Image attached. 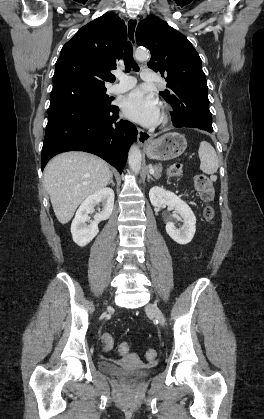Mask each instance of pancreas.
<instances>
[{
  "label": "pancreas",
  "instance_id": "pancreas-1",
  "mask_svg": "<svg viewBox=\"0 0 264 419\" xmlns=\"http://www.w3.org/2000/svg\"><path fill=\"white\" fill-rule=\"evenodd\" d=\"M153 169H154V173H153L154 177L157 178V179L160 178L161 173H162V166L161 165H155L153 167Z\"/></svg>",
  "mask_w": 264,
  "mask_h": 419
}]
</instances>
